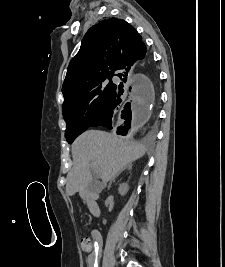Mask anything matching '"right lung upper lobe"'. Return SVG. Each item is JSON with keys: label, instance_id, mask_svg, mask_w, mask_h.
I'll return each instance as SVG.
<instances>
[{"label": "right lung upper lobe", "instance_id": "right-lung-upper-lobe-1", "mask_svg": "<svg viewBox=\"0 0 225 267\" xmlns=\"http://www.w3.org/2000/svg\"><path fill=\"white\" fill-rule=\"evenodd\" d=\"M141 42L139 33L123 19H104L91 27L68 66L64 97L87 83L113 76L126 53Z\"/></svg>", "mask_w": 225, "mask_h": 267}]
</instances>
